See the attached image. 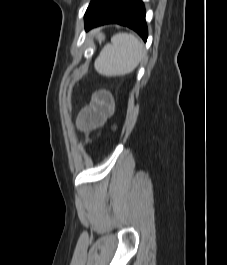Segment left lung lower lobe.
Here are the masks:
<instances>
[{"label": "left lung lower lobe", "instance_id": "left-lung-lower-lobe-1", "mask_svg": "<svg viewBox=\"0 0 227 265\" xmlns=\"http://www.w3.org/2000/svg\"><path fill=\"white\" fill-rule=\"evenodd\" d=\"M117 23L135 30L144 41L148 32L142 0H106L90 16L85 18V29Z\"/></svg>", "mask_w": 227, "mask_h": 265}]
</instances>
